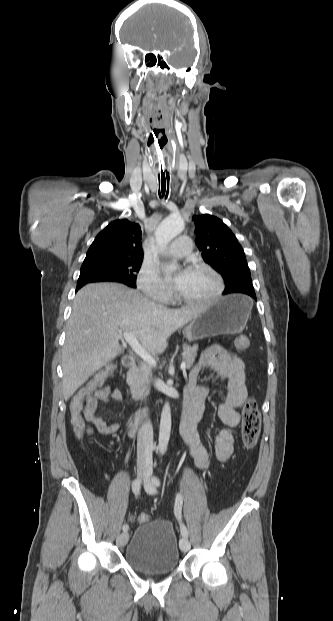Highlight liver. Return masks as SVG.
Here are the masks:
<instances>
[{"instance_id":"6515ba94","label":"liver","mask_w":333,"mask_h":621,"mask_svg":"<svg viewBox=\"0 0 333 621\" xmlns=\"http://www.w3.org/2000/svg\"><path fill=\"white\" fill-rule=\"evenodd\" d=\"M204 307L195 304L172 310L122 284L84 286L75 296L62 349L64 399L116 358L122 331L133 332L143 348L161 354L168 338L198 317Z\"/></svg>"}]
</instances>
